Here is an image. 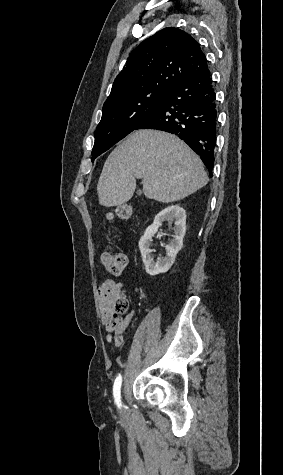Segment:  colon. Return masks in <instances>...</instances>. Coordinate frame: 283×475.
<instances>
[{"instance_id": "colon-1", "label": "colon", "mask_w": 283, "mask_h": 475, "mask_svg": "<svg viewBox=\"0 0 283 475\" xmlns=\"http://www.w3.org/2000/svg\"><path fill=\"white\" fill-rule=\"evenodd\" d=\"M133 207L131 204H121L115 208L113 213L107 215L109 219L120 218L123 220L130 219L133 216ZM101 262L103 267L112 277H119L123 273L126 265V257L123 252H110L104 251L101 253ZM110 304L114 303V311H119L121 319L123 315H126L129 311V300L120 292L114 302L113 299L109 300Z\"/></svg>"}]
</instances>
